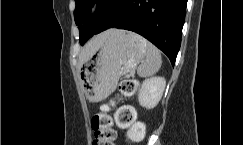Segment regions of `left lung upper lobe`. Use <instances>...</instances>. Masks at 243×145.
<instances>
[{
  "mask_svg": "<svg viewBox=\"0 0 243 145\" xmlns=\"http://www.w3.org/2000/svg\"><path fill=\"white\" fill-rule=\"evenodd\" d=\"M124 0H75L76 7L74 11L75 23L79 28L80 44L83 45L84 41L90 36V26L83 25L90 19V8L97 2L98 9L95 16L102 14L114 13L120 7Z\"/></svg>",
  "mask_w": 243,
  "mask_h": 145,
  "instance_id": "left-lung-upper-lobe-1",
  "label": "left lung upper lobe"
}]
</instances>
